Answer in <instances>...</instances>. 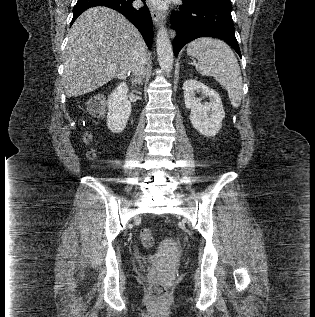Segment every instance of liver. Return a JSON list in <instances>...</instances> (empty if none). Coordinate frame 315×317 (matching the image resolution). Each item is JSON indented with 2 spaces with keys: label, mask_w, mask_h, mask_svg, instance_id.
<instances>
[{
  "label": "liver",
  "mask_w": 315,
  "mask_h": 317,
  "mask_svg": "<svg viewBox=\"0 0 315 317\" xmlns=\"http://www.w3.org/2000/svg\"><path fill=\"white\" fill-rule=\"evenodd\" d=\"M68 36L63 53V84L68 97L92 92L115 76L125 79L136 53H145L146 49L139 31L120 13L106 7L82 13Z\"/></svg>",
  "instance_id": "liver-1"
}]
</instances>
